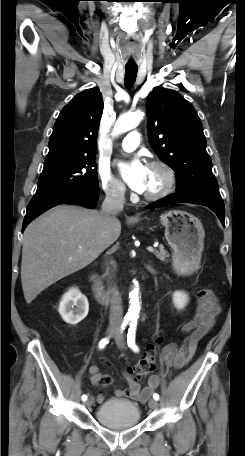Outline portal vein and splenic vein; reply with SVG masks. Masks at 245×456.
Instances as JSON below:
<instances>
[{"mask_svg": "<svg viewBox=\"0 0 245 456\" xmlns=\"http://www.w3.org/2000/svg\"><path fill=\"white\" fill-rule=\"evenodd\" d=\"M146 249H147V251H149V252H154V248L151 247V246H148Z\"/></svg>", "mask_w": 245, "mask_h": 456, "instance_id": "18ae733b", "label": "portal vein and splenic vein"}]
</instances>
